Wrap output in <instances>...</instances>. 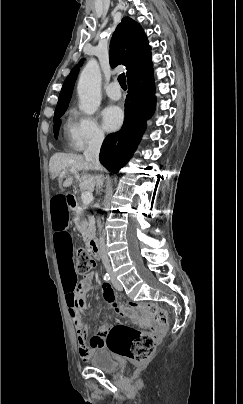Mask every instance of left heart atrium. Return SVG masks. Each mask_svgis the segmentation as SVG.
<instances>
[{"instance_id": "obj_1", "label": "left heart atrium", "mask_w": 243, "mask_h": 404, "mask_svg": "<svg viewBox=\"0 0 243 404\" xmlns=\"http://www.w3.org/2000/svg\"><path fill=\"white\" fill-rule=\"evenodd\" d=\"M102 127L107 132L117 130L123 122V112L116 105L105 107L101 113Z\"/></svg>"}]
</instances>
